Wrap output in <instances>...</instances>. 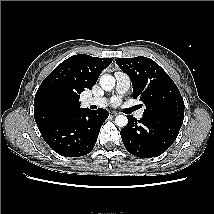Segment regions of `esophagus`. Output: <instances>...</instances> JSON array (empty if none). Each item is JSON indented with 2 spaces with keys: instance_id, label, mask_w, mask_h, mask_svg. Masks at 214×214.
Returning a JSON list of instances; mask_svg holds the SVG:
<instances>
[{
  "instance_id": "34e87169",
  "label": "esophagus",
  "mask_w": 214,
  "mask_h": 214,
  "mask_svg": "<svg viewBox=\"0 0 214 214\" xmlns=\"http://www.w3.org/2000/svg\"><path fill=\"white\" fill-rule=\"evenodd\" d=\"M111 114L115 116V115H118V112L112 111Z\"/></svg>"
}]
</instances>
